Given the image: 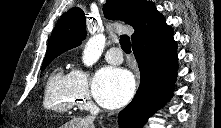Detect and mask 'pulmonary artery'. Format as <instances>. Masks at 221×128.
<instances>
[{
	"mask_svg": "<svg viewBox=\"0 0 221 128\" xmlns=\"http://www.w3.org/2000/svg\"><path fill=\"white\" fill-rule=\"evenodd\" d=\"M105 60L109 64L119 65L123 62V54L118 47H112L106 52Z\"/></svg>",
	"mask_w": 221,
	"mask_h": 128,
	"instance_id": "e3ab8cb5",
	"label": "pulmonary artery"
}]
</instances>
